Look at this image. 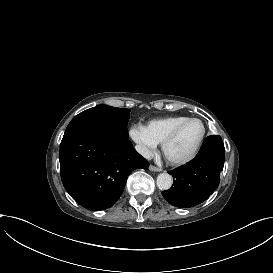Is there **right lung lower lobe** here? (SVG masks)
I'll list each match as a JSON object with an SVG mask.
<instances>
[{"instance_id":"right-lung-lower-lobe-1","label":"right lung lower lobe","mask_w":273,"mask_h":273,"mask_svg":"<svg viewBox=\"0 0 273 273\" xmlns=\"http://www.w3.org/2000/svg\"><path fill=\"white\" fill-rule=\"evenodd\" d=\"M59 159L66 191L91 211L110 208L123 193L129 174L149 166L128 139L92 132L63 136Z\"/></svg>"}]
</instances>
